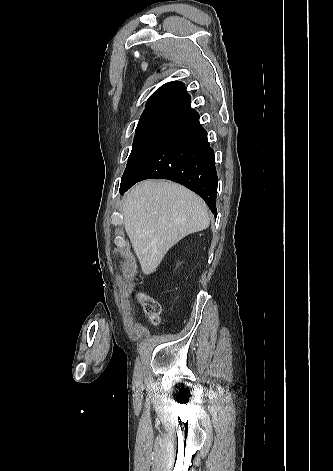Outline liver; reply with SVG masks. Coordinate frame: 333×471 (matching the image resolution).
Instances as JSON below:
<instances>
[{
	"mask_svg": "<svg viewBox=\"0 0 333 471\" xmlns=\"http://www.w3.org/2000/svg\"><path fill=\"white\" fill-rule=\"evenodd\" d=\"M125 231L144 274L153 273L168 250L210 223L205 202L177 183L146 180L125 196Z\"/></svg>",
	"mask_w": 333,
	"mask_h": 471,
	"instance_id": "obj_1",
	"label": "liver"
}]
</instances>
